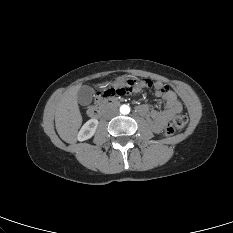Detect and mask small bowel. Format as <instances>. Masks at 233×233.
Segmentation results:
<instances>
[{"mask_svg":"<svg viewBox=\"0 0 233 233\" xmlns=\"http://www.w3.org/2000/svg\"><path fill=\"white\" fill-rule=\"evenodd\" d=\"M155 95L164 102V109L161 111L151 109L148 104H142L137 107V112L147 118L151 129L160 133L166 123L175 115L182 111V104L178 100L176 94L168 85L157 81L153 83ZM146 87L143 82L135 83L134 91L138 92Z\"/></svg>","mask_w":233,"mask_h":233,"instance_id":"c3829d8e","label":"small bowel"}]
</instances>
